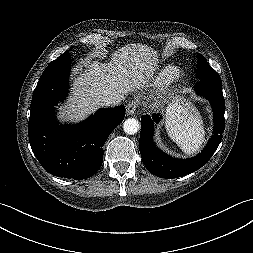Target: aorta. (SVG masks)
<instances>
[{"label":"aorta","mask_w":253,"mask_h":253,"mask_svg":"<svg viewBox=\"0 0 253 253\" xmlns=\"http://www.w3.org/2000/svg\"><path fill=\"white\" fill-rule=\"evenodd\" d=\"M139 128H140V124H139L138 120L135 118H129V119L125 120V122L123 124V129H124L125 133H127L129 135H133V134L137 133L139 131Z\"/></svg>","instance_id":"aorta-1"}]
</instances>
